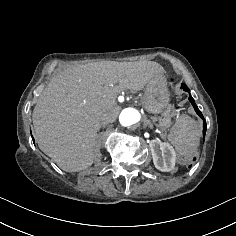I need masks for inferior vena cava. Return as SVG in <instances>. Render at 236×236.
<instances>
[{
	"label": "inferior vena cava",
	"instance_id": "inferior-vena-cava-1",
	"mask_svg": "<svg viewBox=\"0 0 236 236\" xmlns=\"http://www.w3.org/2000/svg\"><path fill=\"white\" fill-rule=\"evenodd\" d=\"M96 117H99V114H96Z\"/></svg>",
	"mask_w": 236,
	"mask_h": 236
}]
</instances>
